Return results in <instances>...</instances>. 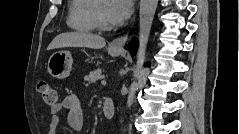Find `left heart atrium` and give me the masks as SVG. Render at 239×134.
Here are the masks:
<instances>
[{"label":"left heart atrium","instance_id":"39dd6f15","mask_svg":"<svg viewBox=\"0 0 239 134\" xmlns=\"http://www.w3.org/2000/svg\"><path fill=\"white\" fill-rule=\"evenodd\" d=\"M131 0H111L108 2V14L112 23L119 25L124 22L132 12Z\"/></svg>","mask_w":239,"mask_h":134}]
</instances>
